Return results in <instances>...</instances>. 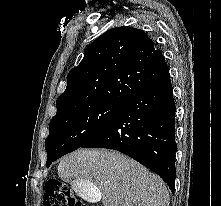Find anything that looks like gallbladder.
I'll return each mask as SVG.
<instances>
[{"label": "gallbladder", "mask_w": 221, "mask_h": 206, "mask_svg": "<svg viewBox=\"0 0 221 206\" xmlns=\"http://www.w3.org/2000/svg\"><path fill=\"white\" fill-rule=\"evenodd\" d=\"M73 184L76 194H79V198H84V202H92L93 205H96L99 198H102L98 185H91V181H74Z\"/></svg>", "instance_id": "1"}]
</instances>
